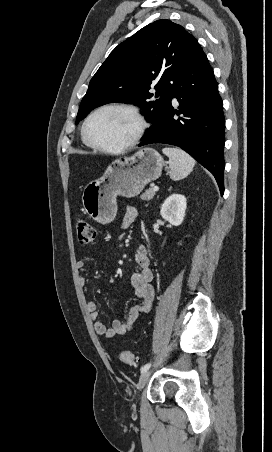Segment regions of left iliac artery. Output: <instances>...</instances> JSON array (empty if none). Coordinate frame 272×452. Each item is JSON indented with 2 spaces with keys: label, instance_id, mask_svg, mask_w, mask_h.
<instances>
[{
  "label": "left iliac artery",
  "instance_id": "1",
  "mask_svg": "<svg viewBox=\"0 0 272 452\" xmlns=\"http://www.w3.org/2000/svg\"><path fill=\"white\" fill-rule=\"evenodd\" d=\"M151 366V363H147L141 367V373L147 371Z\"/></svg>",
  "mask_w": 272,
  "mask_h": 452
}]
</instances>
